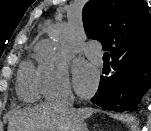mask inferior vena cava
I'll use <instances>...</instances> for the list:
<instances>
[{
  "mask_svg": "<svg viewBox=\"0 0 151 131\" xmlns=\"http://www.w3.org/2000/svg\"><path fill=\"white\" fill-rule=\"evenodd\" d=\"M55 104L60 108L67 109L72 106V99L68 91H63L62 95L55 100Z\"/></svg>",
  "mask_w": 151,
  "mask_h": 131,
  "instance_id": "inferior-vena-cava-1",
  "label": "inferior vena cava"
}]
</instances>
